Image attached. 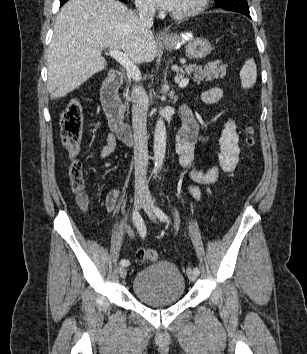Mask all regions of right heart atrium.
I'll return each instance as SVG.
<instances>
[{"mask_svg": "<svg viewBox=\"0 0 307 354\" xmlns=\"http://www.w3.org/2000/svg\"><path fill=\"white\" fill-rule=\"evenodd\" d=\"M135 3L138 9L141 11L151 12L153 10L151 0H135Z\"/></svg>", "mask_w": 307, "mask_h": 354, "instance_id": "obj_1", "label": "right heart atrium"}]
</instances>
